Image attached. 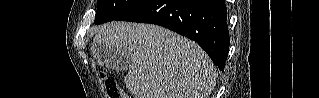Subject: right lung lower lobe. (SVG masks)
Instances as JSON below:
<instances>
[{
  "label": "right lung lower lobe",
  "mask_w": 319,
  "mask_h": 98,
  "mask_svg": "<svg viewBox=\"0 0 319 98\" xmlns=\"http://www.w3.org/2000/svg\"><path fill=\"white\" fill-rule=\"evenodd\" d=\"M115 20L152 23L175 31L196 41L224 70L230 43L224 0H146Z\"/></svg>",
  "instance_id": "obj_1"
}]
</instances>
